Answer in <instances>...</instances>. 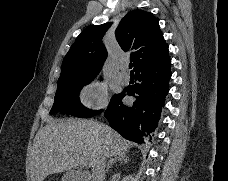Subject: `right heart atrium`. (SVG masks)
Instances as JSON below:
<instances>
[{"label":"right heart atrium","instance_id":"obj_1","mask_svg":"<svg viewBox=\"0 0 228 181\" xmlns=\"http://www.w3.org/2000/svg\"><path fill=\"white\" fill-rule=\"evenodd\" d=\"M84 103L92 108H101L107 102V88L101 82L90 85L83 93Z\"/></svg>","mask_w":228,"mask_h":181}]
</instances>
